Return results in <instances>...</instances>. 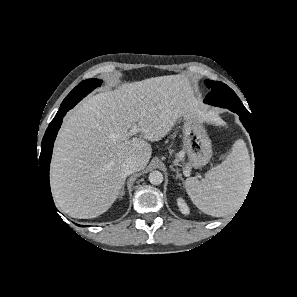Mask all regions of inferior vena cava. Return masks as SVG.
<instances>
[{"mask_svg":"<svg viewBox=\"0 0 297 297\" xmlns=\"http://www.w3.org/2000/svg\"><path fill=\"white\" fill-rule=\"evenodd\" d=\"M138 170V165L137 162L130 158L129 160H127L126 162H124L121 166V171L122 174L126 177L132 173H134L135 171Z\"/></svg>","mask_w":297,"mask_h":297,"instance_id":"inferior-vena-cava-1","label":"inferior vena cava"}]
</instances>
